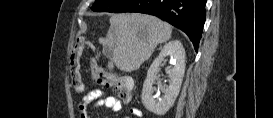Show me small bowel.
<instances>
[{"instance_id":"small-bowel-1","label":"small bowel","mask_w":273,"mask_h":118,"mask_svg":"<svg viewBox=\"0 0 273 118\" xmlns=\"http://www.w3.org/2000/svg\"><path fill=\"white\" fill-rule=\"evenodd\" d=\"M99 107H105L113 112H118L122 109V103L111 95L100 91H92L79 103L78 111L80 118H91L92 111ZM130 112L135 117L142 116V112L138 108H131Z\"/></svg>"}]
</instances>
